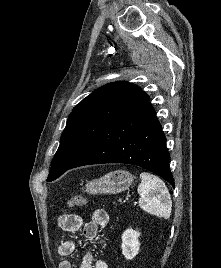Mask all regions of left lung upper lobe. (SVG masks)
<instances>
[{"label": "left lung upper lobe", "mask_w": 221, "mask_h": 268, "mask_svg": "<svg viewBox=\"0 0 221 268\" xmlns=\"http://www.w3.org/2000/svg\"><path fill=\"white\" fill-rule=\"evenodd\" d=\"M148 100L141 88L125 81L106 84L83 99L67 120L47 181L66 172L111 123Z\"/></svg>", "instance_id": "left-lung-upper-lobe-1"}]
</instances>
